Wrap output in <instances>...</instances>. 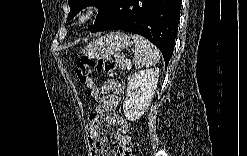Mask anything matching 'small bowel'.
<instances>
[{
	"instance_id": "c3829d8e",
	"label": "small bowel",
	"mask_w": 247,
	"mask_h": 156,
	"mask_svg": "<svg viewBox=\"0 0 247 156\" xmlns=\"http://www.w3.org/2000/svg\"><path fill=\"white\" fill-rule=\"evenodd\" d=\"M106 94L97 98L98 111L91 114L86 125V134L92 155H108L103 147L105 139L100 135L99 130L104 124L118 127L116 135L117 155H127L131 149V136L127 120L117 111L121 96L122 86L114 81L108 80L102 87ZM111 110H116L114 115H109Z\"/></svg>"
}]
</instances>
